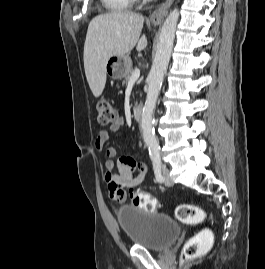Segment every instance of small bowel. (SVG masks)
Listing matches in <instances>:
<instances>
[{
    "label": "small bowel",
    "instance_id": "small-bowel-1",
    "mask_svg": "<svg viewBox=\"0 0 265 269\" xmlns=\"http://www.w3.org/2000/svg\"><path fill=\"white\" fill-rule=\"evenodd\" d=\"M124 125V120L119 118L109 128L110 132H119ZM109 131L102 130L98 133L95 146L99 151L105 152V180L111 199L121 204L126 200L127 190L140 185L147 172L146 164L128 155H120L116 148L106 147ZM116 159V161H115ZM117 170L114 173V170Z\"/></svg>",
    "mask_w": 265,
    "mask_h": 269
}]
</instances>
